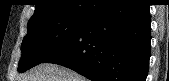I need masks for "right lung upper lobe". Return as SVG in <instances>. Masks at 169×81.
I'll return each mask as SVG.
<instances>
[{"label":"right lung upper lobe","mask_w":169,"mask_h":81,"mask_svg":"<svg viewBox=\"0 0 169 81\" xmlns=\"http://www.w3.org/2000/svg\"><path fill=\"white\" fill-rule=\"evenodd\" d=\"M115 0H36L29 22L49 16L91 17ZM28 22V23H29Z\"/></svg>","instance_id":"cb5924a9"}]
</instances>
